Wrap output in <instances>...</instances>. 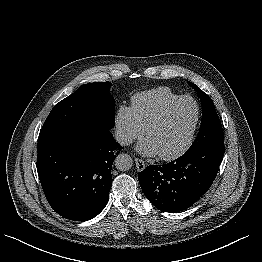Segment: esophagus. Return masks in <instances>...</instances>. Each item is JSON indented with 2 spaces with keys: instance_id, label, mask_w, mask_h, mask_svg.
<instances>
[{
  "instance_id": "1",
  "label": "esophagus",
  "mask_w": 262,
  "mask_h": 262,
  "mask_svg": "<svg viewBox=\"0 0 262 262\" xmlns=\"http://www.w3.org/2000/svg\"><path fill=\"white\" fill-rule=\"evenodd\" d=\"M136 167L139 171H142L146 168V164L142 159L135 158Z\"/></svg>"
}]
</instances>
